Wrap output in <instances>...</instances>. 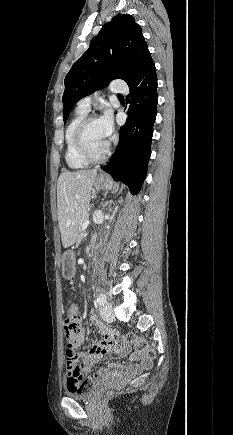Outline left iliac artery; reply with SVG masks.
<instances>
[{
	"label": "left iliac artery",
	"mask_w": 233,
	"mask_h": 435,
	"mask_svg": "<svg viewBox=\"0 0 233 435\" xmlns=\"http://www.w3.org/2000/svg\"><path fill=\"white\" fill-rule=\"evenodd\" d=\"M106 302V296L104 294H99L97 297V303L103 305Z\"/></svg>",
	"instance_id": "left-iliac-artery-1"
}]
</instances>
